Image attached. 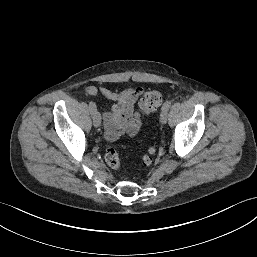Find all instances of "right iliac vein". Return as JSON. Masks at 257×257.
<instances>
[{
	"label": "right iliac vein",
	"mask_w": 257,
	"mask_h": 257,
	"mask_svg": "<svg viewBox=\"0 0 257 257\" xmlns=\"http://www.w3.org/2000/svg\"><path fill=\"white\" fill-rule=\"evenodd\" d=\"M93 125L95 127H99L101 125V116H100L99 112H96L93 115Z\"/></svg>",
	"instance_id": "1"
}]
</instances>
